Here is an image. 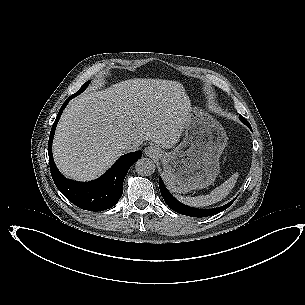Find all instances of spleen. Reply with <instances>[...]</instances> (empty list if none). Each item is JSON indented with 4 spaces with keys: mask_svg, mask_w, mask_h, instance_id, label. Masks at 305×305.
<instances>
[{
    "mask_svg": "<svg viewBox=\"0 0 305 305\" xmlns=\"http://www.w3.org/2000/svg\"><path fill=\"white\" fill-rule=\"evenodd\" d=\"M234 182H235V177L233 175L229 179H227L223 184H221L219 187H216L214 190H212L211 193L208 195H200L196 197H189V196L184 197L181 195H174V196L176 197V199H178L180 202L184 203L185 205L196 208H202L217 203L221 201L223 198H225L227 194L230 192Z\"/></svg>",
    "mask_w": 305,
    "mask_h": 305,
    "instance_id": "spleen-1",
    "label": "spleen"
}]
</instances>
